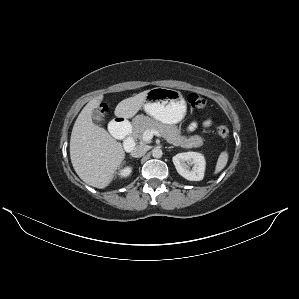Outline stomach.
I'll return each mask as SVG.
<instances>
[{
  "instance_id": "0dacf381",
  "label": "stomach",
  "mask_w": 299,
  "mask_h": 299,
  "mask_svg": "<svg viewBox=\"0 0 299 299\" xmlns=\"http://www.w3.org/2000/svg\"><path fill=\"white\" fill-rule=\"evenodd\" d=\"M144 111L165 124H176L185 116L187 105L182 94L174 89L156 87L148 90Z\"/></svg>"
}]
</instances>
